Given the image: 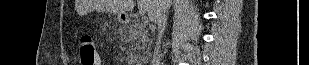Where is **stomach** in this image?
<instances>
[{
    "label": "stomach",
    "mask_w": 309,
    "mask_h": 65,
    "mask_svg": "<svg viewBox=\"0 0 309 65\" xmlns=\"http://www.w3.org/2000/svg\"><path fill=\"white\" fill-rule=\"evenodd\" d=\"M117 20H118L120 23H122V24H124V23L126 22L125 16L122 15V14L117 16Z\"/></svg>",
    "instance_id": "1"
}]
</instances>
